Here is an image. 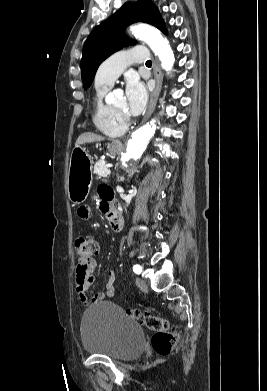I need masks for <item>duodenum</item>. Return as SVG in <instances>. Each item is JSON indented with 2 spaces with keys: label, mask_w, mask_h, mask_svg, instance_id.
<instances>
[{
  "label": "duodenum",
  "mask_w": 267,
  "mask_h": 391,
  "mask_svg": "<svg viewBox=\"0 0 267 391\" xmlns=\"http://www.w3.org/2000/svg\"><path fill=\"white\" fill-rule=\"evenodd\" d=\"M104 210L108 214L109 223L113 231L118 232L123 226V218L115 209H109L107 205H103Z\"/></svg>",
  "instance_id": "duodenum-1"
}]
</instances>
